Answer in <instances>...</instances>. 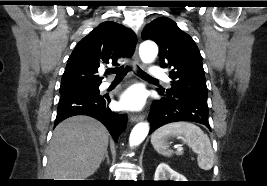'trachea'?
Masks as SVG:
<instances>
[{"label":"trachea","instance_id":"obj_1","mask_svg":"<svg viewBox=\"0 0 267 186\" xmlns=\"http://www.w3.org/2000/svg\"><path fill=\"white\" fill-rule=\"evenodd\" d=\"M107 71L111 72L112 74H115L116 78H123V76L125 75V69H123V66L116 67V68H113V69H108ZM144 76L146 78H148V79L156 80L155 78L151 77L150 75H148L146 73H144Z\"/></svg>","mask_w":267,"mask_h":186}]
</instances>
